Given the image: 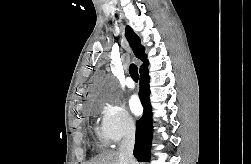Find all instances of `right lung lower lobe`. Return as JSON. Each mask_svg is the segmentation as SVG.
I'll return each instance as SVG.
<instances>
[{"label": "right lung lower lobe", "mask_w": 251, "mask_h": 164, "mask_svg": "<svg viewBox=\"0 0 251 164\" xmlns=\"http://www.w3.org/2000/svg\"><path fill=\"white\" fill-rule=\"evenodd\" d=\"M147 67L140 71V91L139 97L144 107L143 116L136 122V139L134 146V156L138 162L150 161V148L152 140V112L149 100V76Z\"/></svg>", "instance_id": "obj_1"}]
</instances>
